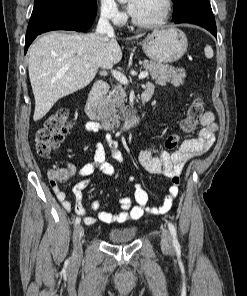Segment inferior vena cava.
Segmentation results:
<instances>
[{
	"instance_id": "obj_1",
	"label": "inferior vena cava",
	"mask_w": 247,
	"mask_h": 296,
	"mask_svg": "<svg viewBox=\"0 0 247 296\" xmlns=\"http://www.w3.org/2000/svg\"><path fill=\"white\" fill-rule=\"evenodd\" d=\"M109 13L102 12L98 21L96 32L101 35L114 36V29L108 20Z\"/></svg>"
}]
</instances>
